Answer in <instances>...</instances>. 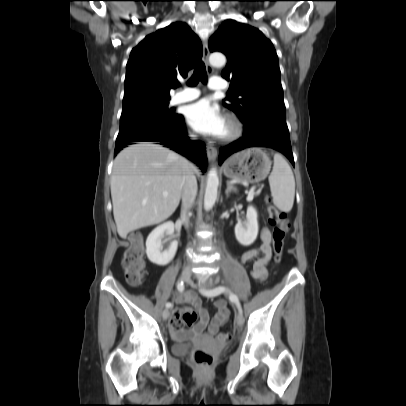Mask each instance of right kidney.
Segmentation results:
<instances>
[{
  "label": "right kidney",
  "instance_id": "right-kidney-1",
  "mask_svg": "<svg viewBox=\"0 0 406 406\" xmlns=\"http://www.w3.org/2000/svg\"><path fill=\"white\" fill-rule=\"evenodd\" d=\"M172 236L174 233V224L166 222L156 227L146 240V254L148 259L159 266L167 265L175 256L178 242L173 240L169 246L163 250L161 239L164 234Z\"/></svg>",
  "mask_w": 406,
  "mask_h": 406
}]
</instances>
